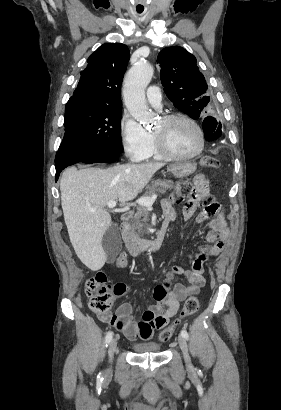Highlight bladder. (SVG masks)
<instances>
[{
	"mask_svg": "<svg viewBox=\"0 0 281 410\" xmlns=\"http://www.w3.org/2000/svg\"><path fill=\"white\" fill-rule=\"evenodd\" d=\"M161 350V345L154 342L136 343L132 345V351L136 354H155Z\"/></svg>",
	"mask_w": 281,
	"mask_h": 410,
	"instance_id": "31cf9c89",
	"label": "bladder"
}]
</instances>
